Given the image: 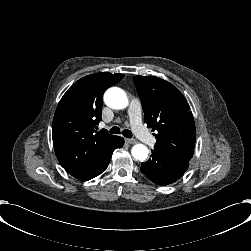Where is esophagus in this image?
Listing matches in <instances>:
<instances>
[{"label":"esophagus","mask_w":251,"mask_h":251,"mask_svg":"<svg viewBox=\"0 0 251 251\" xmlns=\"http://www.w3.org/2000/svg\"><path fill=\"white\" fill-rule=\"evenodd\" d=\"M126 142H127L128 144H136V143H137V140H135V139H126Z\"/></svg>","instance_id":"obj_1"}]
</instances>
